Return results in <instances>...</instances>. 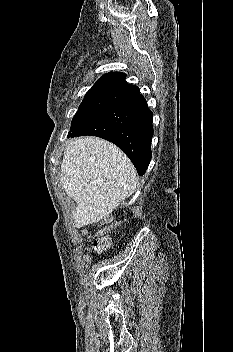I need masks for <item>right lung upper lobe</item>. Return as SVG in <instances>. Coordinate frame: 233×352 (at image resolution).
Listing matches in <instances>:
<instances>
[{
    "label": "right lung upper lobe",
    "instance_id": "1",
    "mask_svg": "<svg viewBox=\"0 0 233 352\" xmlns=\"http://www.w3.org/2000/svg\"><path fill=\"white\" fill-rule=\"evenodd\" d=\"M126 75L121 72H109L104 74L93 87H107V86H116V87H127L135 89L139 92V88L135 85L127 84L125 81Z\"/></svg>",
    "mask_w": 233,
    "mask_h": 352
}]
</instances>
